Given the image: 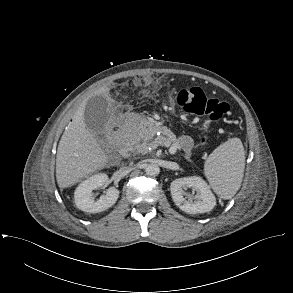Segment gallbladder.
I'll return each mask as SVG.
<instances>
[{
  "label": "gallbladder",
  "instance_id": "obj_1",
  "mask_svg": "<svg viewBox=\"0 0 293 293\" xmlns=\"http://www.w3.org/2000/svg\"><path fill=\"white\" fill-rule=\"evenodd\" d=\"M109 101L104 96L91 97L84 109L86 126L93 132L103 133L110 120Z\"/></svg>",
  "mask_w": 293,
  "mask_h": 293
}]
</instances>
